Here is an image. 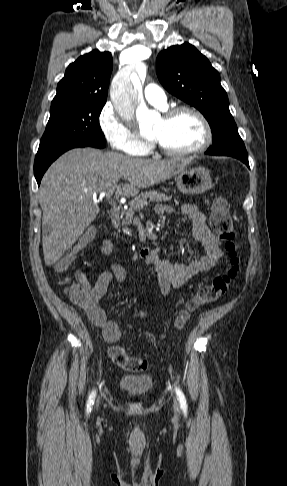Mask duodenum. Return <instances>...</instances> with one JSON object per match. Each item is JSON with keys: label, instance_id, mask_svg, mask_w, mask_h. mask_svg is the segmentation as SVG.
Segmentation results:
<instances>
[{"label": "duodenum", "instance_id": "410a0bca", "mask_svg": "<svg viewBox=\"0 0 287 486\" xmlns=\"http://www.w3.org/2000/svg\"><path fill=\"white\" fill-rule=\"evenodd\" d=\"M119 214H120V207L119 206H113L108 212L109 218L112 219V220H115L116 218H118ZM152 251L153 250L150 249V248H143L140 252V255L143 258H146L147 256H149L152 253Z\"/></svg>", "mask_w": 287, "mask_h": 486}]
</instances>
